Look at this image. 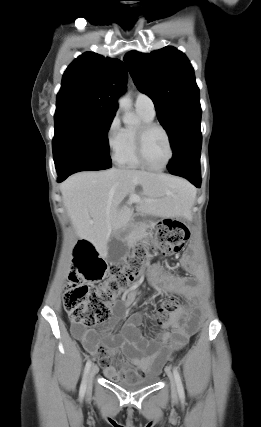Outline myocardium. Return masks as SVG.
Listing matches in <instances>:
<instances>
[{"mask_svg":"<svg viewBox=\"0 0 261 427\" xmlns=\"http://www.w3.org/2000/svg\"><path fill=\"white\" fill-rule=\"evenodd\" d=\"M154 130H160L164 136L166 137L168 147H169V157L167 161L162 166H153L151 165L145 155V141L149 133ZM135 145H136V155L139 162L147 169L153 171H162L167 168V166L171 163L174 157V148L172 144L171 137L168 131L160 124L157 123H143L137 129L135 133Z\"/></svg>","mask_w":261,"mask_h":427,"instance_id":"obj_1","label":"myocardium"}]
</instances>
